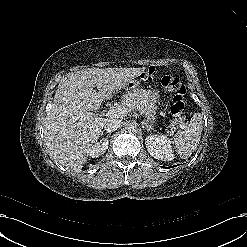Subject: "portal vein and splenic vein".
<instances>
[{"label": "portal vein and splenic vein", "instance_id": "18ae733b", "mask_svg": "<svg viewBox=\"0 0 247 247\" xmlns=\"http://www.w3.org/2000/svg\"><path fill=\"white\" fill-rule=\"evenodd\" d=\"M129 112V109L125 106H111L108 111H106V116L123 117ZM174 128V127H172ZM180 128L185 129V125H180Z\"/></svg>", "mask_w": 247, "mask_h": 247}]
</instances>
